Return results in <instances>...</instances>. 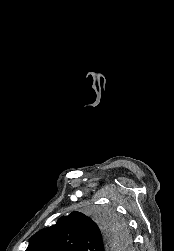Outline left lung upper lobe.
Instances as JSON below:
<instances>
[{"mask_svg":"<svg viewBox=\"0 0 174 251\" xmlns=\"http://www.w3.org/2000/svg\"><path fill=\"white\" fill-rule=\"evenodd\" d=\"M130 246L126 224L111 213L81 212L61 217L34 234L26 251H122Z\"/></svg>","mask_w":174,"mask_h":251,"instance_id":"1","label":"left lung upper lobe"}]
</instances>
